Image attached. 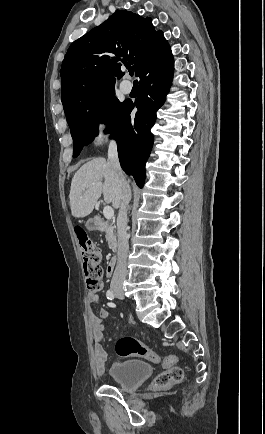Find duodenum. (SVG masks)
I'll return each instance as SVG.
<instances>
[{
  "instance_id": "1",
  "label": "duodenum",
  "mask_w": 265,
  "mask_h": 434,
  "mask_svg": "<svg viewBox=\"0 0 265 434\" xmlns=\"http://www.w3.org/2000/svg\"><path fill=\"white\" fill-rule=\"evenodd\" d=\"M98 229L99 230H104L105 229L106 232L112 233V228L110 226H108V225L104 226L103 224H101V225L99 224L98 225ZM116 265H117V257L114 256V257L111 258V260L106 265V274L108 276L113 275V273L115 271V268H116Z\"/></svg>"
}]
</instances>
